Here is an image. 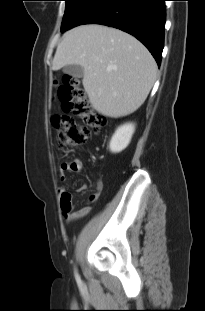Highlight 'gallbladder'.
Returning a JSON list of instances; mask_svg holds the SVG:
<instances>
[{
  "instance_id": "bac80fb5",
  "label": "gallbladder",
  "mask_w": 205,
  "mask_h": 311,
  "mask_svg": "<svg viewBox=\"0 0 205 311\" xmlns=\"http://www.w3.org/2000/svg\"><path fill=\"white\" fill-rule=\"evenodd\" d=\"M63 72L66 75H70L74 78H82L84 76V69L81 65L73 64L67 65L63 68Z\"/></svg>"
}]
</instances>
